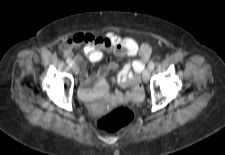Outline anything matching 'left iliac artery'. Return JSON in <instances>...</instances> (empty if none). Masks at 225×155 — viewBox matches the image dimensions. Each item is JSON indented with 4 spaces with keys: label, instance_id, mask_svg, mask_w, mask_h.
<instances>
[{
    "label": "left iliac artery",
    "instance_id": "1",
    "mask_svg": "<svg viewBox=\"0 0 225 155\" xmlns=\"http://www.w3.org/2000/svg\"><path fill=\"white\" fill-rule=\"evenodd\" d=\"M154 67H155V63H154V62H150V64H149V68H150L151 70H153V69H154Z\"/></svg>",
    "mask_w": 225,
    "mask_h": 155
}]
</instances>
